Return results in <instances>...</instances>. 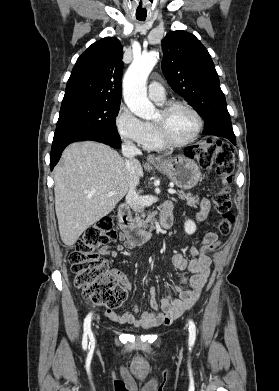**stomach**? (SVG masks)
Masks as SVG:
<instances>
[{
	"label": "stomach",
	"mask_w": 279,
	"mask_h": 391,
	"mask_svg": "<svg viewBox=\"0 0 279 391\" xmlns=\"http://www.w3.org/2000/svg\"><path fill=\"white\" fill-rule=\"evenodd\" d=\"M154 167L182 189L195 187L201 175L198 165L184 156H177L173 159L161 158L159 163L154 164Z\"/></svg>",
	"instance_id": "obj_1"
}]
</instances>
